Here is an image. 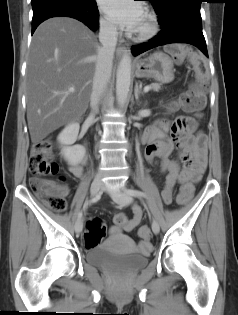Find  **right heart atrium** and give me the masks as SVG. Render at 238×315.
<instances>
[{
	"label": "right heart atrium",
	"instance_id": "1",
	"mask_svg": "<svg viewBox=\"0 0 238 315\" xmlns=\"http://www.w3.org/2000/svg\"><path fill=\"white\" fill-rule=\"evenodd\" d=\"M99 24H100V29L103 34L109 37H113L117 34L116 25L107 17H101Z\"/></svg>",
	"mask_w": 238,
	"mask_h": 315
}]
</instances>
